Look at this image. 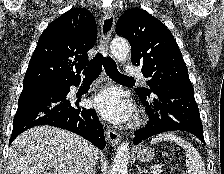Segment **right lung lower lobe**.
<instances>
[{
  "mask_svg": "<svg viewBox=\"0 0 224 174\" xmlns=\"http://www.w3.org/2000/svg\"><path fill=\"white\" fill-rule=\"evenodd\" d=\"M80 80L24 88L18 100L9 144L23 131L38 125H51L76 133L99 149L105 148L103 127L94 109L79 107L67 100L70 86Z\"/></svg>",
  "mask_w": 224,
  "mask_h": 174,
  "instance_id": "obj_1",
  "label": "right lung lower lobe"
}]
</instances>
